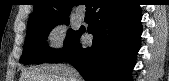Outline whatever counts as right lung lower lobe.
<instances>
[{
  "instance_id": "right-lung-lower-lobe-1",
  "label": "right lung lower lobe",
  "mask_w": 169,
  "mask_h": 81,
  "mask_svg": "<svg viewBox=\"0 0 169 81\" xmlns=\"http://www.w3.org/2000/svg\"><path fill=\"white\" fill-rule=\"evenodd\" d=\"M91 47H83L80 36L85 28L48 63H71L86 81H131V71L140 48L141 10L130 0H95Z\"/></svg>"
}]
</instances>
